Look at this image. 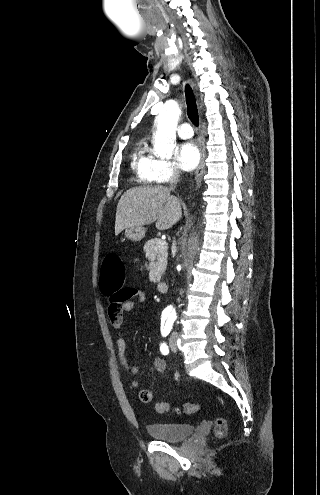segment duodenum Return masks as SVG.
Masks as SVG:
<instances>
[{
	"mask_svg": "<svg viewBox=\"0 0 320 495\" xmlns=\"http://www.w3.org/2000/svg\"><path fill=\"white\" fill-rule=\"evenodd\" d=\"M168 288H169V285L166 281H159L158 282V290L161 292V293H165L168 291Z\"/></svg>",
	"mask_w": 320,
	"mask_h": 495,
	"instance_id": "obj_1",
	"label": "duodenum"
}]
</instances>
